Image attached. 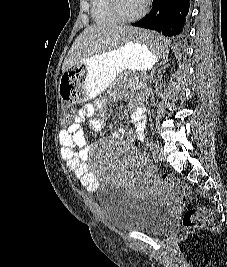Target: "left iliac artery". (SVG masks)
<instances>
[{
	"label": "left iliac artery",
	"instance_id": "obj_1",
	"mask_svg": "<svg viewBox=\"0 0 227 267\" xmlns=\"http://www.w3.org/2000/svg\"><path fill=\"white\" fill-rule=\"evenodd\" d=\"M149 145H150V148L153 150L154 146H155V143H153V141H151Z\"/></svg>",
	"mask_w": 227,
	"mask_h": 267
}]
</instances>
